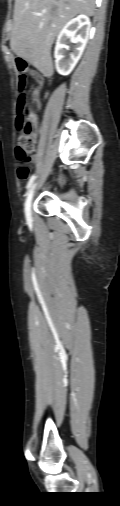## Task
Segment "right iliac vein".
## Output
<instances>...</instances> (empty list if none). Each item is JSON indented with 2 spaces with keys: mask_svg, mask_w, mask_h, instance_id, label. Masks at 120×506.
I'll return each mask as SVG.
<instances>
[{
  "mask_svg": "<svg viewBox=\"0 0 120 506\" xmlns=\"http://www.w3.org/2000/svg\"><path fill=\"white\" fill-rule=\"evenodd\" d=\"M34 189H35V184L32 185L31 189L29 190L26 201H25V216H26L27 220L31 219V214H32L31 207H32Z\"/></svg>",
  "mask_w": 120,
  "mask_h": 506,
  "instance_id": "obj_1",
  "label": "right iliac vein"
}]
</instances>
